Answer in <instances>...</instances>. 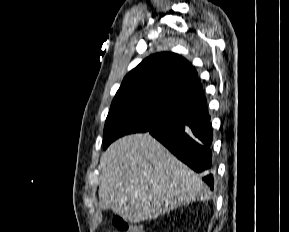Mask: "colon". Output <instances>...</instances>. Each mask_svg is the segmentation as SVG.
<instances>
[{
    "mask_svg": "<svg viewBox=\"0 0 289 232\" xmlns=\"http://www.w3.org/2000/svg\"><path fill=\"white\" fill-rule=\"evenodd\" d=\"M113 224L118 232H145L140 225L130 223L121 216H115Z\"/></svg>",
    "mask_w": 289,
    "mask_h": 232,
    "instance_id": "obj_1",
    "label": "colon"
}]
</instances>
